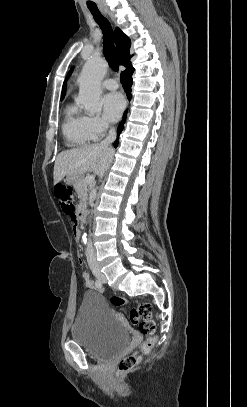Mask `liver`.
Instances as JSON below:
<instances>
[{"mask_svg": "<svg viewBox=\"0 0 247 407\" xmlns=\"http://www.w3.org/2000/svg\"><path fill=\"white\" fill-rule=\"evenodd\" d=\"M113 156V151L100 144L85 145L80 148L61 152L54 164V184L66 175L82 176L86 172L102 175Z\"/></svg>", "mask_w": 247, "mask_h": 407, "instance_id": "1", "label": "liver"}]
</instances>
